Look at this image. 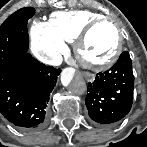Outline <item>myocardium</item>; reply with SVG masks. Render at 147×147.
<instances>
[{"label":"myocardium","instance_id":"myocardium-1","mask_svg":"<svg viewBox=\"0 0 147 147\" xmlns=\"http://www.w3.org/2000/svg\"><path fill=\"white\" fill-rule=\"evenodd\" d=\"M106 22H98L88 26L81 36L77 39L76 42V56L80 60V62L89 68H100L108 65L112 62L114 57L117 55V51L119 49V44L112 46L111 51L108 54H102L100 57L93 59L89 56V42L97 30L106 29Z\"/></svg>","mask_w":147,"mask_h":147}]
</instances>
